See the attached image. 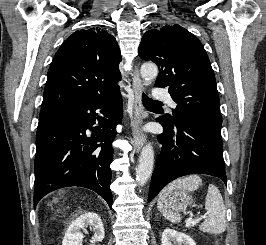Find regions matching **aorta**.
<instances>
[{"label": "aorta", "instance_id": "aorta-1", "mask_svg": "<svg viewBox=\"0 0 266 245\" xmlns=\"http://www.w3.org/2000/svg\"><path fill=\"white\" fill-rule=\"evenodd\" d=\"M140 74L145 82L149 84L158 74V68L153 62H144L140 68ZM154 165V151L152 145L148 143L143 147L140 157L138 167L136 169V181L139 183L140 187L146 185L148 179H150L153 171Z\"/></svg>", "mask_w": 266, "mask_h": 245}]
</instances>
